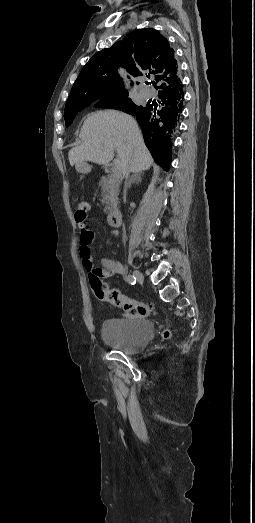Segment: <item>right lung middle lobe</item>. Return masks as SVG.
<instances>
[{
	"mask_svg": "<svg viewBox=\"0 0 255 523\" xmlns=\"http://www.w3.org/2000/svg\"><path fill=\"white\" fill-rule=\"evenodd\" d=\"M129 100L128 94L123 95H113V96H107L102 98L100 101H98L94 106L95 107H102V108H117V109H123V106L125 103H127ZM96 101V100H94ZM93 101L90 102H84V103H70L66 104L65 110H64V119L66 127H68L76 114L84 109L85 107L89 106Z\"/></svg>",
	"mask_w": 255,
	"mask_h": 523,
	"instance_id": "right-lung-middle-lobe-1",
	"label": "right lung middle lobe"
}]
</instances>
